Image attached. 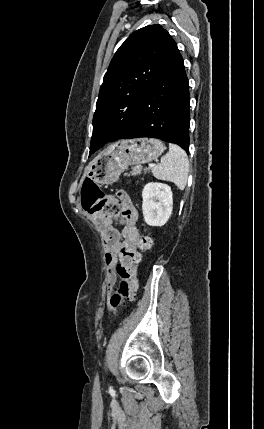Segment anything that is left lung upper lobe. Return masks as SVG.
Returning a JSON list of instances; mask_svg holds the SVG:
<instances>
[{"label": "left lung upper lobe", "mask_w": 264, "mask_h": 429, "mask_svg": "<svg viewBox=\"0 0 264 429\" xmlns=\"http://www.w3.org/2000/svg\"><path fill=\"white\" fill-rule=\"evenodd\" d=\"M171 41L160 25H150L133 32L119 47L100 88L90 154L109 141L124 138L132 129Z\"/></svg>", "instance_id": "obj_1"}]
</instances>
